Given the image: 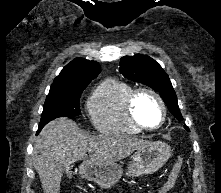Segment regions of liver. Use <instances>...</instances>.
Segmentation results:
<instances>
[{
    "label": "liver",
    "instance_id": "obj_1",
    "mask_svg": "<svg viewBox=\"0 0 221 193\" xmlns=\"http://www.w3.org/2000/svg\"><path fill=\"white\" fill-rule=\"evenodd\" d=\"M147 143L132 136H89L73 120L58 118L36 139L33 165L44 193H60L63 173L73 163L84 159L95 165L114 164Z\"/></svg>",
    "mask_w": 221,
    "mask_h": 193
}]
</instances>
